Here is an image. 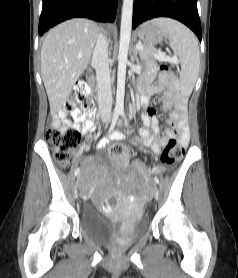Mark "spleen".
<instances>
[{
  "mask_svg": "<svg viewBox=\"0 0 238 278\" xmlns=\"http://www.w3.org/2000/svg\"><path fill=\"white\" fill-rule=\"evenodd\" d=\"M151 23L157 25L168 36L170 47L181 63L180 82L185 95H190L199 72L200 54L197 38L182 23L170 18H156Z\"/></svg>",
  "mask_w": 238,
  "mask_h": 278,
  "instance_id": "spleen-1",
  "label": "spleen"
}]
</instances>
